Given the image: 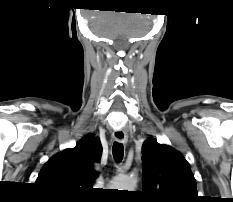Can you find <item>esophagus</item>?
<instances>
[{
  "mask_svg": "<svg viewBox=\"0 0 233 202\" xmlns=\"http://www.w3.org/2000/svg\"><path fill=\"white\" fill-rule=\"evenodd\" d=\"M113 138L121 143H126L127 142V134L124 130L119 129V130H115L113 132Z\"/></svg>",
  "mask_w": 233,
  "mask_h": 202,
  "instance_id": "obj_1",
  "label": "esophagus"
}]
</instances>
